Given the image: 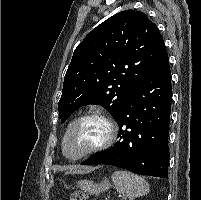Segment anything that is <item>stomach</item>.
Wrapping results in <instances>:
<instances>
[{
  "instance_id": "stomach-1",
  "label": "stomach",
  "mask_w": 201,
  "mask_h": 200,
  "mask_svg": "<svg viewBox=\"0 0 201 200\" xmlns=\"http://www.w3.org/2000/svg\"><path fill=\"white\" fill-rule=\"evenodd\" d=\"M78 186L84 192H87L91 195H99L109 189L110 183L107 179L102 181L100 184H96L90 180H81L78 182Z\"/></svg>"
}]
</instances>
